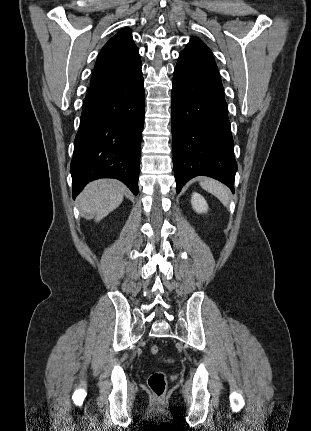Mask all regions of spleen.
I'll return each mask as SVG.
<instances>
[{
    "instance_id": "1",
    "label": "spleen",
    "mask_w": 311,
    "mask_h": 431,
    "mask_svg": "<svg viewBox=\"0 0 311 431\" xmlns=\"http://www.w3.org/2000/svg\"><path fill=\"white\" fill-rule=\"evenodd\" d=\"M201 188L206 190V192H210L213 196H216L224 206H228L229 204V190L220 182H216V180H210V178H204L202 182H200Z\"/></svg>"
}]
</instances>
